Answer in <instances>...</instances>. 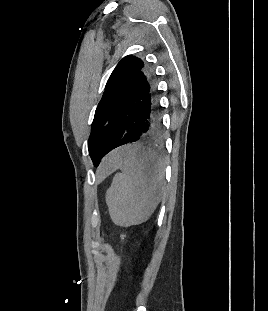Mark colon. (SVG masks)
<instances>
[{"mask_svg": "<svg viewBox=\"0 0 268 311\" xmlns=\"http://www.w3.org/2000/svg\"><path fill=\"white\" fill-rule=\"evenodd\" d=\"M120 242L126 245H129V241L127 240L125 235L120 236Z\"/></svg>", "mask_w": 268, "mask_h": 311, "instance_id": "colon-1", "label": "colon"}]
</instances>
